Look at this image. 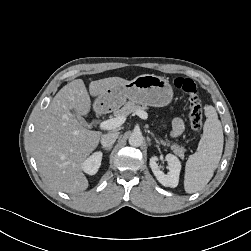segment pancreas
I'll use <instances>...</instances> for the list:
<instances>
[{
    "instance_id": "cf45deb5",
    "label": "pancreas",
    "mask_w": 251,
    "mask_h": 251,
    "mask_svg": "<svg viewBox=\"0 0 251 251\" xmlns=\"http://www.w3.org/2000/svg\"><path fill=\"white\" fill-rule=\"evenodd\" d=\"M147 109L146 106H140V105H136L134 102L128 101L124 104V106L120 109H115L113 114L114 116H128L129 114L139 111V110H145ZM161 143L163 145H169V143L165 142V141H161ZM171 150L177 155L179 156L181 159H184V152H185V148L182 146H179L178 144H173L170 146Z\"/></svg>"
}]
</instances>
